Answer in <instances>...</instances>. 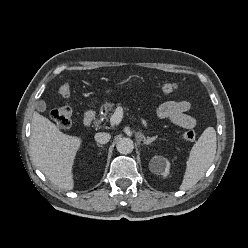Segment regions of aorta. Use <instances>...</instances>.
I'll list each match as a JSON object with an SVG mask.
<instances>
[{
    "label": "aorta",
    "mask_w": 248,
    "mask_h": 248,
    "mask_svg": "<svg viewBox=\"0 0 248 248\" xmlns=\"http://www.w3.org/2000/svg\"><path fill=\"white\" fill-rule=\"evenodd\" d=\"M117 151L121 154H129L134 149L133 141L130 138H121L116 145Z\"/></svg>",
    "instance_id": "aorta-1"
}]
</instances>
